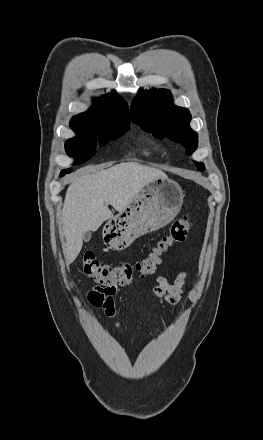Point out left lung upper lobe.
I'll use <instances>...</instances> for the list:
<instances>
[{"label": "left lung upper lobe", "mask_w": 263, "mask_h": 440, "mask_svg": "<svg viewBox=\"0 0 263 440\" xmlns=\"http://www.w3.org/2000/svg\"><path fill=\"white\" fill-rule=\"evenodd\" d=\"M131 120L158 138L168 137L181 142L187 154L197 148L198 135L189 126L191 114L187 109L173 105L168 90L142 92L132 102ZM195 164L198 170L205 169L203 163Z\"/></svg>", "instance_id": "1"}]
</instances>
